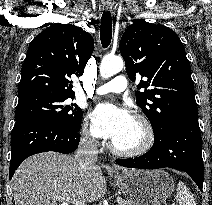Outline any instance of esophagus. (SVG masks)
I'll use <instances>...</instances> for the list:
<instances>
[{
  "label": "esophagus",
  "mask_w": 212,
  "mask_h": 205,
  "mask_svg": "<svg viewBox=\"0 0 212 205\" xmlns=\"http://www.w3.org/2000/svg\"><path fill=\"white\" fill-rule=\"evenodd\" d=\"M103 9L106 10V11H109V10L112 9V5L110 3H104Z\"/></svg>",
  "instance_id": "34e87169"
}]
</instances>
